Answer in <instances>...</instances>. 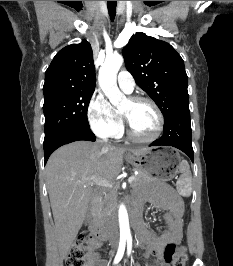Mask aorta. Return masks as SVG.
<instances>
[{"label":"aorta","instance_id":"aorta-1","mask_svg":"<svg viewBox=\"0 0 233 266\" xmlns=\"http://www.w3.org/2000/svg\"><path fill=\"white\" fill-rule=\"evenodd\" d=\"M122 63L123 57L121 55H112L105 59L99 70L98 81L100 88L114 106H118L124 99V94L117 86V73ZM118 218L121 239H129L131 237L129 218L126 207L123 204L119 207Z\"/></svg>","mask_w":233,"mask_h":266}]
</instances>
